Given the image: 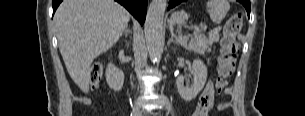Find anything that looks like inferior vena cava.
<instances>
[{"instance_id":"inferior-vena-cava-1","label":"inferior vena cava","mask_w":305,"mask_h":116,"mask_svg":"<svg viewBox=\"0 0 305 116\" xmlns=\"http://www.w3.org/2000/svg\"><path fill=\"white\" fill-rule=\"evenodd\" d=\"M134 113L136 114V116H140L141 115V111H140L139 106H137V105L135 106Z\"/></svg>"}]
</instances>
